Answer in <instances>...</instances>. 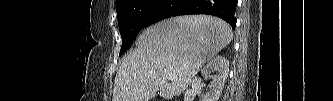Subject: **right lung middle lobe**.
Returning <instances> with one entry per match:
<instances>
[{
	"label": "right lung middle lobe",
	"mask_w": 333,
	"mask_h": 101,
	"mask_svg": "<svg viewBox=\"0 0 333 101\" xmlns=\"http://www.w3.org/2000/svg\"><path fill=\"white\" fill-rule=\"evenodd\" d=\"M164 0H119L116 2L119 30L122 37L120 54L133 43Z\"/></svg>",
	"instance_id": "obj_1"
}]
</instances>
